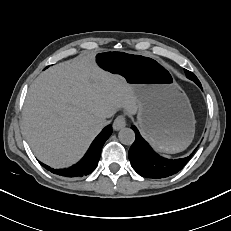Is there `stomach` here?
<instances>
[{"mask_svg":"<svg viewBox=\"0 0 231 231\" xmlns=\"http://www.w3.org/2000/svg\"><path fill=\"white\" fill-rule=\"evenodd\" d=\"M102 70L121 76L138 100L137 123L159 151L186 149L195 133V117L184 91L158 59L137 52L106 50L94 57Z\"/></svg>","mask_w":231,"mask_h":231,"instance_id":"stomach-1","label":"stomach"}]
</instances>
